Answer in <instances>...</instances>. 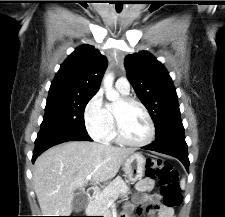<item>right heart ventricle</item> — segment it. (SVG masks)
I'll list each match as a JSON object with an SVG mask.
<instances>
[{"instance_id":"right-heart-ventricle-1","label":"right heart ventricle","mask_w":225,"mask_h":217,"mask_svg":"<svg viewBox=\"0 0 225 217\" xmlns=\"http://www.w3.org/2000/svg\"><path fill=\"white\" fill-rule=\"evenodd\" d=\"M122 94L127 95V94H124V93H122ZM106 110H107L109 118L112 122V128L103 141H105V142H119V140L117 138V135H116L115 128H114L113 106L112 105H106Z\"/></svg>"}]
</instances>
